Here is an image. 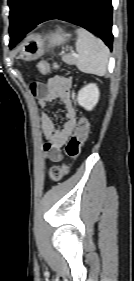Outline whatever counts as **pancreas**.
I'll return each instance as SVG.
<instances>
[{
    "mask_svg": "<svg viewBox=\"0 0 134 281\" xmlns=\"http://www.w3.org/2000/svg\"><path fill=\"white\" fill-rule=\"evenodd\" d=\"M62 60L67 63V64H75L76 63V58L72 54H65L62 56Z\"/></svg>",
    "mask_w": 134,
    "mask_h": 281,
    "instance_id": "pancreas-1",
    "label": "pancreas"
}]
</instances>
